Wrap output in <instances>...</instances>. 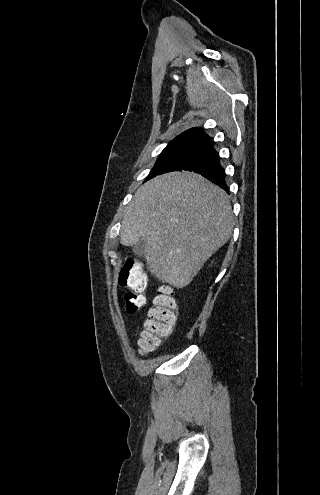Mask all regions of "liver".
I'll list each match as a JSON object with an SVG mask.
<instances>
[{"label":"liver","mask_w":320,"mask_h":495,"mask_svg":"<svg viewBox=\"0 0 320 495\" xmlns=\"http://www.w3.org/2000/svg\"><path fill=\"white\" fill-rule=\"evenodd\" d=\"M232 231L226 192L200 174L182 170L155 177L136 191L122 221L120 242L133 246L143 237L150 272L180 289Z\"/></svg>","instance_id":"liver-1"}]
</instances>
